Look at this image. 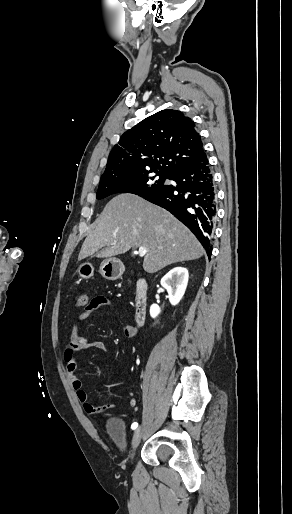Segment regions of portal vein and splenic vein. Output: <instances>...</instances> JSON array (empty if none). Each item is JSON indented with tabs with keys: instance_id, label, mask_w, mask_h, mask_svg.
Segmentation results:
<instances>
[{
	"instance_id": "portal-vein-and-splenic-vein-1",
	"label": "portal vein and splenic vein",
	"mask_w": 292,
	"mask_h": 514,
	"mask_svg": "<svg viewBox=\"0 0 292 514\" xmlns=\"http://www.w3.org/2000/svg\"><path fill=\"white\" fill-rule=\"evenodd\" d=\"M134 254H139V256H145V254H148L147 248H143V246H140L138 252H134Z\"/></svg>"
}]
</instances>
